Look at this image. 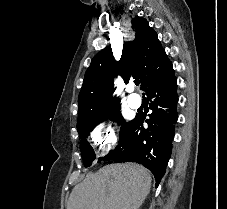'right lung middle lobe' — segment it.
<instances>
[{
  "instance_id": "1",
  "label": "right lung middle lobe",
  "mask_w": 227,
  "mask_h": 209,
  "mask_svg": "<svg viewBox=\"0 0 227 209\" xmlns=\"http://www.w3.org/2000/svg\"><path fill=\"white\" fill-rule=\"evenodd\" d=\"M119 102L120 101L117 99H109L105 102V109L100 114L83 116L78 118L77 130L79 133V137L82 139L81 152L85 167L91 166L92 161H94L96 157L93 148L85 139L86 137H88L89 132L93 130L95 126H97L100 122L107 120L108 118H112V120L117 121L121 124L120 138H122L125 129L129 125L130 122H125L120 114ZM101 160L102 158H99V162Z\"/></svg>"
}]
</instances>
